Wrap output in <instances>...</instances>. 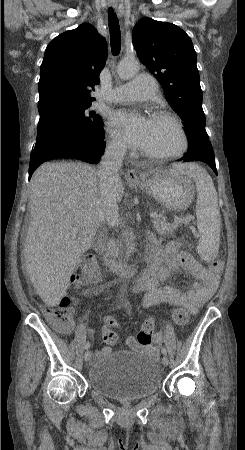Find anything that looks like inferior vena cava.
Here are the masks:
<instances>
[{
    "label": "inferior vena cava",
    "instance_id": "inferior-vena-cava-1",
    "mask_svg": "<svg viewBox=\"0 0 245 450\" xmlns=\"http://www.w3.org/2000/svg\"><path fill=\"white\" fill-rule=\"evenodd\" d=\"M125 153L126 146L124 144L110 143L105 149L101 166L97 172L101 197L106 206V219L111 227L118 225L119 221L116 193L119 183V170Z\"/></svg>",
    "mask_w": 245,
    "mask_h": 450
}]
</instances>
